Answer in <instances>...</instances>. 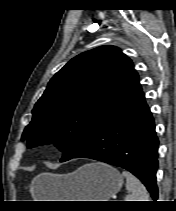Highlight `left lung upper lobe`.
Returning a JSON list of instances; mask_svg holds the SVG:
<instances>
[{
  "label": "left lung upper lobe",
  "instance_id": "1",
  "mask_svg": "<svg viewBox=\"0 0 176 211\" xmlns=\"http://www.w3.org/2000/svg\"><path fill=\"white\" fill-rule=\"evenodd\" d=\"M142 94L132 61L118 47L100 46L71 59L35 104L22 140L55 143L72 159L116 111Z\"/></svg>",
  "mask_w": 176,
  "mask_h": 211
}]
</instances>
